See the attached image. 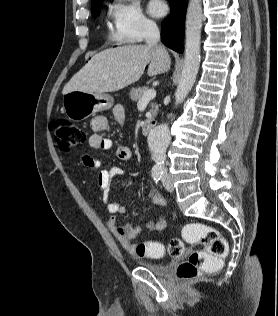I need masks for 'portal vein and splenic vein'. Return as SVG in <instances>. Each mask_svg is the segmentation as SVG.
I'll use <instances>...</instances> for the list:
<instances>
[{
    "label": "portal vein and splenic vein",
    "instance_id": "1",
    "mask_svg": "<svg viewBox=\"0 0 278 316\" xmlns=\"http://www.w3.org/2000/svg\"><path fill=\"white\" fill-rule=\"evenodd\" d=\"M155 96H156V90L154 88L153 89H149L140 98V100L138 101V104L149 102L150 100L155 98Z\"/></svg>",
    "mask_w": 278,
    "mask_h": 316
}]
</instances>
